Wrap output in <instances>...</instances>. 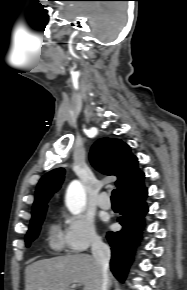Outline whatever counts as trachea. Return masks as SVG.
Returning a JSON list of instances; mask_svg holds the SVG:
<instances>
[{
  "label": "trachea",
  "instance_id": "obj_1",
  "mask_svg": "<svg viewBox=\"0 0 187 290\" xmlns=\"http://www.w3.org/2000/svg\"><path fill=\"white\" fill-rule=\"evenodd\" d=\"M111 200L113 201V202H118V192H117V190L116 189H114L113 191H112V196H111Z\"/></svg>",
  "mask_w": 187,
  "mask_h": 290
}]
</instances>
